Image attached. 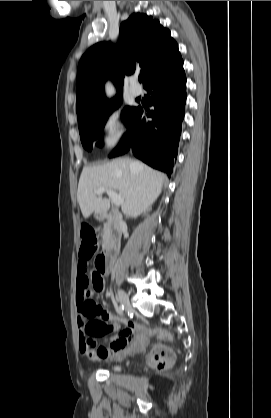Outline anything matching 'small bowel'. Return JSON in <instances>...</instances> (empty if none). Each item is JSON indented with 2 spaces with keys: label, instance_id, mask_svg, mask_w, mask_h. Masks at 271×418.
Here are the masks:
<instances>
[{
  "label": "small bowel",
  "instance_id": "obj_1",
  "mask_svg": "<svg viewBox=\"0 0 271 418\" xmlns=\"http://www.w3.org/2000/svg\"><path fill=\"white\" fill-rule=\"evenodd\" d=\"M89 276L87 262L79 261L76 277L75 302L80 330V351L91 362L121 359L142 349L147 342L146 332L133 322L123 326L118 317L104 311L94 293L103 289L102 270L94 269ZM120 330L116 335L111 332ZM108 335L109 346H96L93 339Z\"/></svg>",
  "mask_w": 271,
  "mask_h": 418
}]
</instances>
